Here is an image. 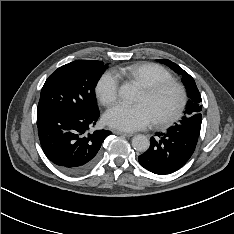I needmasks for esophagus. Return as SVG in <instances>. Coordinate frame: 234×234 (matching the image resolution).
I'll return each instance as SVG.
<instances>
[{"instance_id":"1","label":"esophagus","mask_w":234,"mask_h":234,"mask_svg":"<svg viewBox=\"0 0 234 234\" xmlns=\"http://www.w3.org/2000/svg\"><path fill=\"white\" fill-rule=\"evenodd\" d=\"M115 134L117 135H122V136H125V137H132L133 134L132 133H127V132H122V131H114Z\"/></svg>"}]
</instances>
